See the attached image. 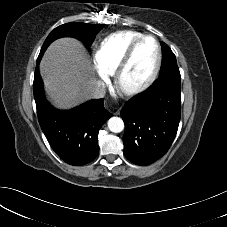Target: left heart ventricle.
Segmentation results:
<instances>
[{"mask_svg": "<svg viewBox=\"0 0 227 227\" xmlns=\"http://www.w3.org/2000/svg\"><path fill=\"white\" fill-rule=\"evenodd\" d=\"M157 58L156 44L151 38L143 40L137 47L125 73L123 82L132 86L142 82L152 72Z\"/></svg>", "mask_w": 227, "mask_h": 227, "instance_id": "obj_1", "label": "left heart ventricle"}]
</instances>
